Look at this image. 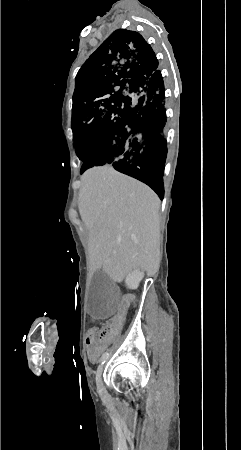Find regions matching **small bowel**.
Instances as JSON below:
<instances>
[{
  "label": "small bowel",
  "mask_w": 241,
  "mask_h": 450,
  "mask_svg": "<svg viewBox=\"0 0 241 450\" xmlns=\"http://www.w3.org/2000/svg\"><path fill=\"white\" fill-rule=\"evenodd\" d=\"M122 306L124 308H127L129 306V303L127 301H124L122 303ZM115 316L118 319H123V318H125L126 313L123 310H118V311H116ZM113 326H114V328L119 329V328H121L122 323H121V321L116 320V321H114ZM114 332L115 331L113 329L111 330V328H109V327H104V328L102 327L98 330L99 334L97 337L99 340L102 341L105 339L106 336H109V335H111V333L113 334ZM93 335H94V333H90V335L87 339V344L89 346L88 354L92 361H96L102 353V347H101V345H92Z\"/></svg>",
  "instance_id": "obj_1"
}]
</instances>
